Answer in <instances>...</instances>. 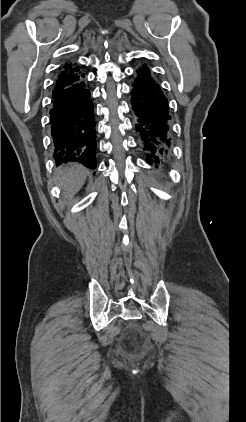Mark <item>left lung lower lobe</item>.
Listing matches in <instances>:
<instances>
[{"instance_id":"obj_1","label":"left lung lower lobe","mask_w":246,"mask_h":422,"mask_svg":"<svg viewBox=\"0 0 246 422\" xmlns=\"http://www.w3.org/2000/svg\"><path fill=\"white\" fill-rule=\"evenodd\" d=\"M133 83L132 109L136 116V130L142 141L147 163L159 162L170 147L169 105L149 67L144 64L137 71Z\"/></svg>"}]
</instances>
